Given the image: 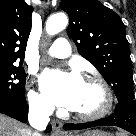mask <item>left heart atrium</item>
Returning a JSON list of instances; mask_svg holds the SVG:
<instances>
[{
  "instance_id": "obj_1",
  "label": "left heart atrium",
  "mask_w": 136,
  "mask_h": 136,
  "mask_svg": "<svg viewBox=\"0 0 136 136\" xmlns=\"http://www.w3.org/2000/svg\"><path fill=\"white\" fill-rule=\"evenodd\" d=\"M83 85L84 80L77 72L47 70L41 76V87L48 99L71 110L79 103Z\"/></svg>"
}]
</instances>
